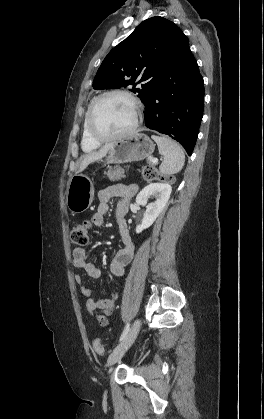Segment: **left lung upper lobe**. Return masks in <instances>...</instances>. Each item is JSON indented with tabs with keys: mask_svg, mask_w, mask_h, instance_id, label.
I'll return each instance as SVG.
<instances>
[{
	"mask_svg": "<svg viewBox=\"0 0 264 419\" xmlns=\"http://www.w3.org/2000/svg\"><path fill=\"white\" fill-rule=\"evenodd\" d=\"M183 32L173 22L155 16L144 20L102 62L93 81L94 89L121 88L133 85L143 103L154 84L170 74L174 42ZM141 78L142 89L135 80Z\"/></svg>",
	"mask_w": 264,
	"mask_h": 419,
	"instance_id": "obj_1",
	"label": "left lung upper lobe"
}]
</instances>
